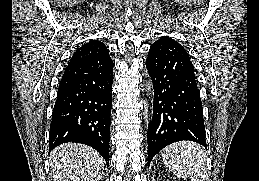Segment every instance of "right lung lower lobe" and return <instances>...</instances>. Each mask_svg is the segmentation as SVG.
<instances>
[{"instance_id":"obj_1","label":"right lung lower lobe","mask_w":259,"mask_h":181,"mask_svg":"<svg viewBox=\"0 0 259 181\" xmlns=\"http://www.w3.org/2000/svg\"><path fill=\"white\" fill-rule=\"evenodd\" d=\"M113 66L108 51L66 67L52 112L50 150L65 142L82 143L109 163Z\"/></svg>"}]
</instances>
